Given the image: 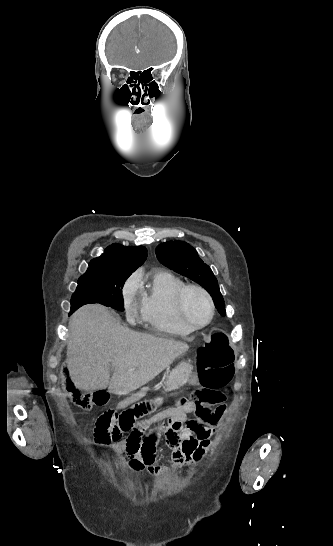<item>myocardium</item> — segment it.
I'll use <instances>...</instances> for the list:
<instances>
[{"mask_svg":"<svg viewBox=\"0 0 333 546\" xmlns=\"http://www.w3.org/2000/svg\"><path fill=\"white\" fill-rule=\"evenodd\" d=\"M193 291L200 293L206 299L210 308V316L208 320L202 324L193 323L186 313V298L187 295ZM175 308L181 322L193 331L207 327L213 321L216 312L215 304L210 293L203 287L195 284H185L182 288L179 289L175 297Z\"/></svg>","mask_w":333,"mask_h":546,"instance_id":"myocardium-1","label":"myocardium"}]
</instances>
